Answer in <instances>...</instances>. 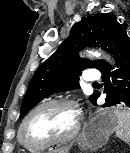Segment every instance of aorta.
Here are the masks:
<instances>
[{"mask_svg":"<svg viewBox=\"0 0 130 153\" xmlns=\"http://www.w3.org/2000/svg\"><path fill=\"white\" fill-rule=\"evenodd\" d=\"M89 56L90 57H99L100 54L98 52H90Z\"/></svg>","mask_w":130,"mask_h":153,"instance_id":"obj_1","label":"aorta"}]
</instances>
